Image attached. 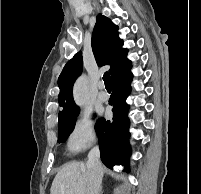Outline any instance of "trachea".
<instances>
[{"instance_id":"trachea-1","label":"trachea","mask_w":201,"mask_h":194,"mask_svg":"<svg viewBox=\"0 0 201 194\" xmlns=\"http://www.w3.org/2000/svg\"><path fill=\"white\" fill-rule=\"evenodd\" d=\"M103 81H104L106 89H111L110 74L108 72L104 73Z\"/></svg>"}]
</instances>
